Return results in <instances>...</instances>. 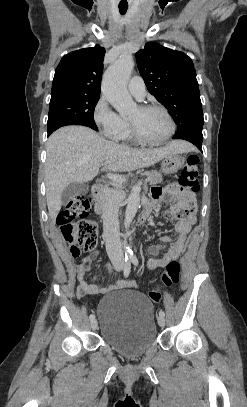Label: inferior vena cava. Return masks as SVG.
<instances>
[{"instance_id":"1","label":"inferior vena cava","mask_w":247,"mask_h":407,"mask_svg":"<svg viewBox=\"0 0 247 407\" xmlns=\"http://www.w3.org/2000/svg\"><path fill=\"white\" fill-rule=\"evenodd\" d=\"M118 209V201L113 190H108L102 202L103 237L111 262L123 264L124 256L120 242Z\"/></svg>"}]
</instances>
